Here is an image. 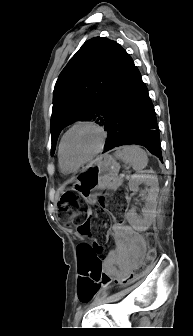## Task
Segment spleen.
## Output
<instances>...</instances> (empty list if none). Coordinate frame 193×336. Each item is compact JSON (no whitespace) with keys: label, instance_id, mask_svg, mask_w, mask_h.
I'll return each instance as SVG.
<instances>
[{"label":"spleen","instance_id":"1","mask_svg":"<svg viewBox=\"0 0 193 336\" xmlns=\"http://www.w3.org/2000/svg\"><path fill=\"white\" fill-rule=\"evenodd\" d=\"M114 156L122 160L124 163L129 164L137 172L143 170L148 163L146 152L139 146H123L119 148Z\"/></svg>","mask_w":193,"mask_h":336}]
</instances>
